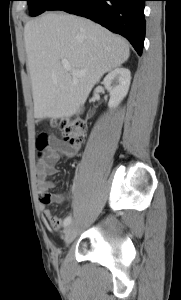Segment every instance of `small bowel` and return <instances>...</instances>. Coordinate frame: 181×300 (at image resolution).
Returning a JSON list of instances; mask_svg holds the SVG:
<instances>
[{
    "instance_id": "obj_1",
    "label": "small bowel",
    "mask_w": 181,
    "mask_h": 300,
    "mask_svg": "<svg viewBox=\"0 0 181 300\" xmlns=\"http://www.w3.org/2000/svg\"><path fill=\"white\" fill-rule=\"evenodd\" d=\"M61 148L62 145L56 137H49L48 148L44 152V155L38 162L36 168L39 202L44 207V216L50 223L51 227L56 230L61 227L62 221L60 218L55 216L49 208H46V206L52 203L62 204L65 201L64 195L52 194L49 192V190L54 187L51 177L57 174L56 164L61 158ZM75 154L76 150H66L65 152L67 157H73Z\"/></svg>"
}]
</instances>
